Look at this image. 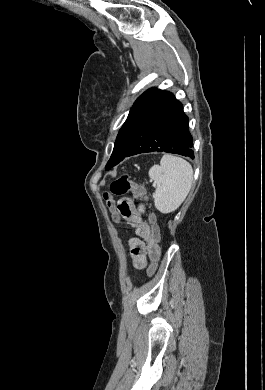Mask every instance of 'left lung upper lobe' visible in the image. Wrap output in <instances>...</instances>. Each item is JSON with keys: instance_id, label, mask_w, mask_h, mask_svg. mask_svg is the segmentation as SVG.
Masks as SVG:
<instances>
[{"instance_id": "5c2ea615", "label": "left lung upper lobe", "mask_w": 265, "mask_h": 390, "mask_svg": "<svg viewBox=\"0 0 265 390\" xmlns=\"http://www.w3.org/2000/svg\"><path fill=\"white\" fill-rule=\"evenodd\" d=\"M158 91L157 88H151L144 92L134 103L131 108L128 118L121 127L113 149V153L106 165V170H109L111 167L115 166L120 155L125 150L129 140L133 134L135 124L139 117L141 110L144 106L152 99L154 94Z\"/></svg>"}]
</instances>
